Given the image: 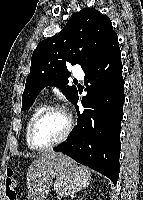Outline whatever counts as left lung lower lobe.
I'll list each match as a JSON object with an SVG mask.
<instances>
[{
	"mask_svg": "<svg viewBox=\"0 0 143 200\" xmlns=\"http://www.w3.org/2000/svg\"><path fill=\"white\" fill-rule=\"evenodd\" d=\"M118 37L84 71V110L68 140L54 148L117 183L120 167V125L123 118L124 80ZM78 94L73 104L78 101Z\"/></svg>",
	"mask_w": 143,
	"mask_h": 200,
	"instance_id": "0a47b994",
	"label": "left lung lower lobe"
}]
</instances>
